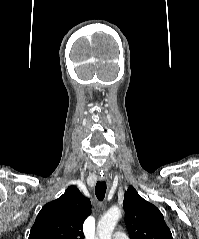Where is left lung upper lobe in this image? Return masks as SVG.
Listing matches in <instances>:
<instances>
[{
    "label": "left lung upper lobe",
    "instance_id": "left-lung-upper-lobe-1",
    "mask_svg": "<svg viewBox=\"0 0 199 239\" xmlns=\"http://www.w3.org/2000/svg\"><path fill=\"white\" fill-rule=\"evenodd\" d=\"M125 223L131 239H172L160 210L129 186L124 195Z\"/></svg>",
    "mask_w": 199,
    "mask_h": 239
}]
</instances>
